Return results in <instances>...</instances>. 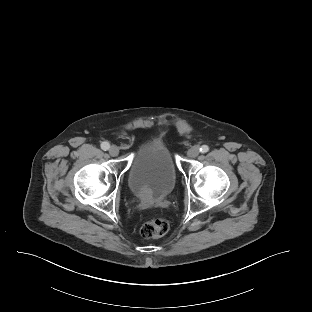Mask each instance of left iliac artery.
I'll use <instances>...</instances> for the list:
<instances>
[{
    "instance_id": "44dca946",
    "label": "left iliac artery",
    "mask_w": 312,
    "mask_h": 312,
    "mask_svg": "<svg viewBox=\"0 0 312 312\" xmlns=\"http://www.w3.org/2000/svg\"><path fill=\"white\" fill-rule=\"evenodd\" d=\"M209 151V147L207 145H202L200 148L201 153H206Z\"/></svg>"
}]
</instances>
